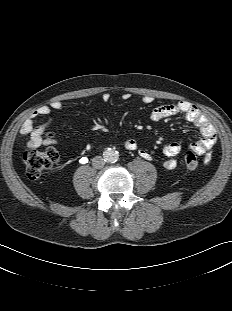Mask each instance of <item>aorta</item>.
I'll use <instances>...</instances> for the list:
<instances>
[{
	"label": "aorta",
	"instance_id": "1",
	"mask_svg": "<svg viewBox=\"0 0 232 311\" xmlns=\"http://www.w3.org/2000/svg\"><path fill=\"white\" fill-rule=\"evenodd\" d=\"M103 158L107 163H115L119 158V154L115 149L107 148L103 152Z\"/></svg>",
	"mask_w": 232,
	"mask_h": 311
}]
</instances>
